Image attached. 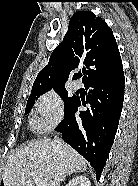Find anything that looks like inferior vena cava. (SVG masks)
<instances>
[{
    "label": "inferior vena cava",
    "instance_id": "obj_1",
    "mask_svg": "<svg viewBox=\"0 0 138 186\" xmlns=\"http://www.w3.org/2000/svg\"><path fill=\"white\" fill-rule=\"evenodd\" d=\"M54 143H55V144H60V141L57 140V139H55V140H54Z\"/></svg>",
    "mask_w": 138,
    "mask_h": 186
}]
</instances>
